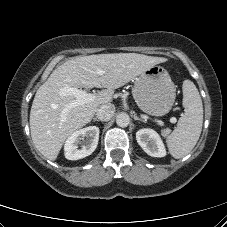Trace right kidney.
Returning <instances> with one entry per match:
<instances>
[{
	"mask_svg": "<svg viewBox=\"0 0 227 227\" xmlns=\"http://www.w3.org/2000/svg\"><path fill=\"white\" fill-rule=\"evenodd\" d=\"M99 140V128L89 126L72 133L65 142V157L78 160L92 154Z\"/></svg>",
	"mask_w": 227,
	"mask_h": 227,
	"instance_id": "right-kidney-1",
	"label": "right kidney"
}]
</instances>
